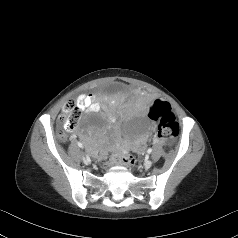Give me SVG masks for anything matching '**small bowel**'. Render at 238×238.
<instances>
[{
	"label": "small bowel",
	"instance_id": "small-bowel-1",
	"mask_svg": "<svg viewBox=\"0 0 238 238\" xmlns=\"http://www.w3.org/2000/svg\"><path fill=\"white\" fill-rule=\"evenodd\" d=\"M77 103L81 109L86 110L87 112L97 111L100 108V104L98 103V101L92 94L79 95L77 98ZM149 108H148V113H149ZM143 140H144V136L136 139L135 144L140 143Z\"/></svg>",
	"mask_w": 238,
	"mask_h": 238
}]
</instances>
